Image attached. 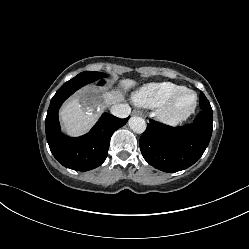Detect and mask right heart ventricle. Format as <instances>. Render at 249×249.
Here are the masks:
<instances>
[{
  "label": "right heart ventricle",
  "instance_id": "right-heart-ventricle-1",
  "mask_svg": "<svg viewBox=\"0 0 249 249\" xmlns=\"http://www.w3.org/2000/svg\"><path fill=\"white\" fill-rule=\"evenodd\" d=\"M183 88L181 85L163 81L143 85L133 95L136 104L147 108L160 107L175 91Z\"/></svg>",
  "mask_w": 249,
  "mask_h": 249
}]
</instances>
